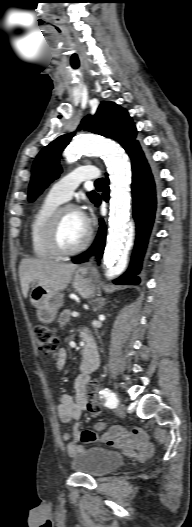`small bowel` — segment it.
<instances>
[{
    "label": "small bowel",
    "instance_id": "obj_1",
    "mask_svg": "<svg viewBox=\"0 0 192 527\" xmlns=\"http://www.w3.org/2000/svg\"><path fill=\"white\" fill-rule=\"evenodd\" d=\"M85 342L90 344L95 351L96 360L98 362L97 348L93 339L88 335H84ZM66 353L61 350L59 353L57 367L61 369L65 364ZM90 373L81 371L75 381L76 398L74 399L69 394L63 393L60 396V403L57 407V414L63 424H72L73 431L64 432L62 438L67 444V453L70 457H75L81 451L83 446L79 444L80 441L84 443H93L100 440L99 434L93 431H81L79 420L84 410L89 409L87 392L89 388L95 383L90 380ZM128 427V424L123 422H116L115 426H110L107 432L102 434V439L116 447H119L126 454L128 459L133 460L136 457L138 464L146 463L147 458L153 453V446L148 441L147 437L140 433L141 429L138 426ZM106 425L99 422L95 425L97 432H103Z\"/></svg>",
    "mask_w": 192,
    "mask_h": 527
}]
</instances>
